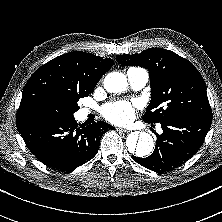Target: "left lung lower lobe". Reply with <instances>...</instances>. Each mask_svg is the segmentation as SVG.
<instances>
[{"instance_id": "0a47b994", "label": "left lung lower lobe", "mask_w": 222, "mask_h": 222, "mask_svg": "<svg viewBox=\"0 0 222 222\" xmlns=\"http://www.w3.org/2000/svg\"><path fill=\"white\" fill-rule=\"evenodd\" d=\"M212 117L185 114L172 116L161 123L163 133L156 134V147L146 158L132 156L138 164L157 173L179 167L201 147L210 129Z\"/></svg>"}]
</instances>
